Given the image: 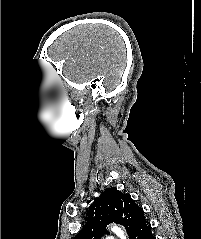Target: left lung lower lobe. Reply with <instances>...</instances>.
I'll list each match as a JSON object with an SVG mask.
<instances>
[{
  "label": "left lung lower lobe",
  "mask_w": 201,
  "mask_h": 239,
  "mask_svg": "<svg viewBox=\"0 0 201 239\" xmlns=\"http://www.w3.org/2000/svg\"><path fill=\"white\" fill-rule=\"evenodd\" d=\"M130 239H155L151 232V224L146 221L129 236Z\"/></svg>",
  "instance_id": "obj_1"
}]
</instances>
